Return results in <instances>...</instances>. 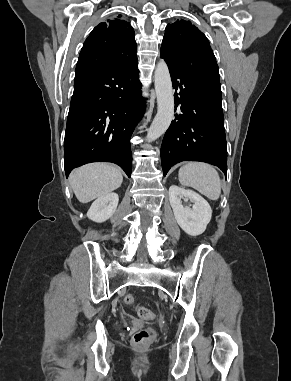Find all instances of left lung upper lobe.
<instances>
[{
    "label": "left lung upper lobe",
    "mask_w": 291,
    "mask_h": 381,
    "mask_svg": "<svg viewBox=\"0 0 291 381\" xmlns=\"http://www.w3.org/2000/svg\"><path fill=\"white\" fill-rule=\"evenodd\" d=\"M161 57L189 77L220 85L218 65L206 36L189 21L168 24L161 45Z\"/></svg>",
    "instance_id": "left-lung-upper-lobe-1"
}]
</instances>
